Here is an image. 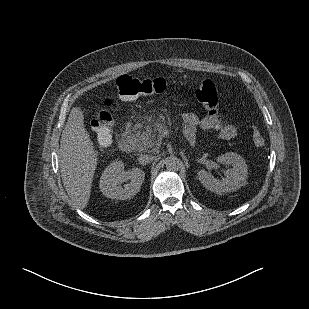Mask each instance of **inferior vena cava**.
<instances>
[{
	"instance_id": "inferior-vena-cava-1",
	"label": "inferior vena cava",
	"mask_w": 309,
	"mask_h": 309,
	"mask_svg": "<svg viewBox=\"0 0 309 309\" xmlns=\"http://www.w3.org/2000/svg\"><path fill=\"white\" fill-rule=\"evenodd\" d=\"M153 159H154V156H152V155L141 154L138 157V162L141 165H147V164L151 163L153 161Z\"/></svg>"
}]
</instances>
